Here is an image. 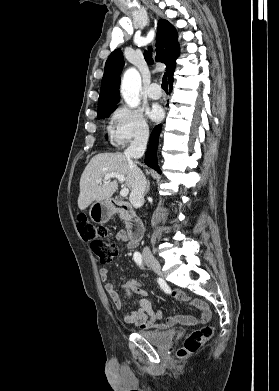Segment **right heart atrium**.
I'll list each match as a JSON object with an SVG mask.
<instances>
[{"instance_id": "right-heart-atrium-1", "label": "right heart atrium", "mask_w": 279, "mask_h": 391, "mask_svg": "<svg viewBox=\"0 0 279 391\" xmlns=\"http://www.w3.org/2000/svg\"><path fill=\"white\" fill-rule=\"evenodd\" d=\"M148 135L149 124L140 109L120 105L112 112L110 137L115 147L145 140Z\"/></svg>"}]
</instances>
